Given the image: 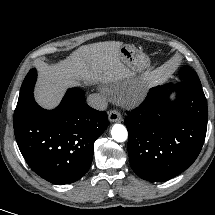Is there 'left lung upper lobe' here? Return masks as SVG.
Here are the masks:
<instances>
[{
    "label": "left lung upper lobe",
    "instance_id": "1",
    "mask_svg": "<svg viewBox=\"0 0 215 215\" xmlns=\"http://www.w3.org/2000/svg\"><path fill=\"white\" fill-rule=\"evenodd\" d=\"M179 76L183 82L201 85V82L198 78L196 72L188 66H184L179 71Z\"/></svg>",
    "mask_w": 215,
    "mask_h": 215
}]
</instances>
